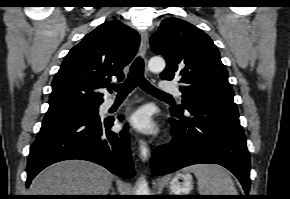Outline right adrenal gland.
Here are the masks:
<instances>
[{"label": "right adrenal gland", "instance_id": "obj_1", "mask_svg": "<svg viewBox=\"0 0 290 199\" xmlns=\"http://www.w3.org/2000/svg\"><path fill=\"white\" fill-rule=\"evenodd\" d=\"M111 191H112V193L110 195H115V190L113 187L111 188Z\"/></svg>", "mask_w": 290, "mask_h": 199}]
</instances>
